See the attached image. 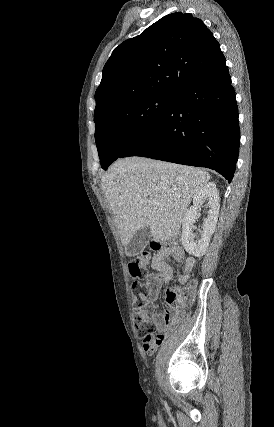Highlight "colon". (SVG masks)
<instances>
[{
  "label": "colon",
  "mask_w": 274,
  "mask_h": 427,
  "mask_svg": "<svg viewBox=\"0 0 274 427\" xmlns=\"http://www.w3.org/2000/svg\"><path fill=\"white\" fill-rule=\"evenodd\" d=\"M129 264H134V276L142 277L143 274L149 273V261L146 259L138 258L133 256ZM133 289H136V285H133ZM177 298V287L167 286L165 289V299L168 303L175 302ZM135 310L133 313V322L138 336L141 338H151V354H152V332H156V321L151 313H149L150 307L140 297L135 296L134 298Z\"/></svg>",
  "instance_id": "colon-1"
}]
</instances>
